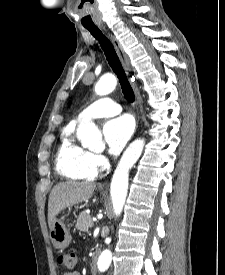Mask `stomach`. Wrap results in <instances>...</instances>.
<instances>
[{"label":"stomach","mask_w":225,"mask_h":275,"mask_svg":"<svg viewBox=\"0 0 225 275\" xmlns=\"http://www.w3.org/2000/svg\"><path fill=\"white\" fill-rule=\"evenodd\" d=\"M50 239L56 248L64 249L69 246L72 237L63 220L55 218L50 226Z\"/></svg>","instance_id":"stomach-1"}]
</instances>
